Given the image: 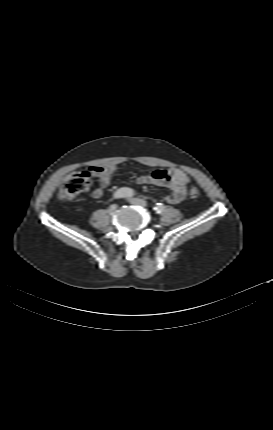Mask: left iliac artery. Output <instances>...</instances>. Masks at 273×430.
Instances as JSON below:
<instances>
[{"instance_id":"1","label":"left iliac artery","mask_w":273,"mask_h":430,"mask_svg":"<svg viewBox=\"0 0 273 430\" xmlns=\"http://www.w3.org/2000/svg\"><path fill=\"white\" fill-rule=\"evenodd\" d=\"M154 210L156 211L157 214H161L165 210V206L162 203H157L156 206L154 207Z\"/></svg>"}]
</instances>
